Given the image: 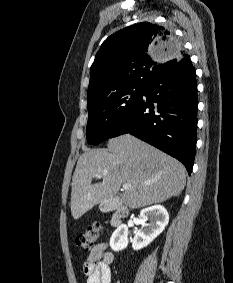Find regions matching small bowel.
<instances>
[{
    "label": "small bowel",
    "instance_id": "obj_1",
    "mask_svg": "<svg viewBox=\"0 0 233 283\" xmlns=\"http://www.w3.org/2000/svg\"><path fill=\"white\" fill-rule=\"evenodd\" d=\"M114 256L108 251V243L95 245L83 264L86 283H111V264Z\"/></svg>",
    "mask_w": 233,
    "mask_h": 283
}]
</instances>
